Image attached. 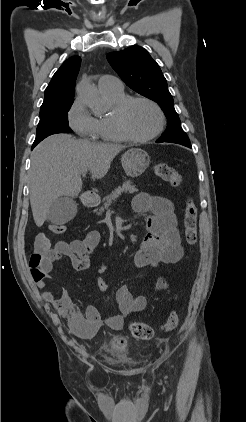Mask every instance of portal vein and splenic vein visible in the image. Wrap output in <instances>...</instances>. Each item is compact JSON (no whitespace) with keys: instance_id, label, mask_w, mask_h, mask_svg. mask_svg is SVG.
Segmentation results:
<instances>
[{"instance_id":"1","label":"portal vein and splenic vein","mask_w":246,"mask_h":422,"mask_svg":"<svg viewBox=\"0 0 246 422\" xmlns=\"http://www.w3.org/2000/svg\"><path fill=\"white\" fill-rule=\"evenodd\" d=\"M87 170L82 171V175L84 176L86 174Z\"/></svg>"}]
</instances>
